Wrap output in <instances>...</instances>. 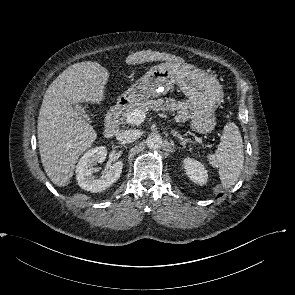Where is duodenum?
Instances as JSON below:
<instances>
[{"label":"duodenum","instance_id":"410a0bca","mask_svg":"<svg viewBox=\"0 0 295 295\" xmlns=\"http://www.w3.org/2000/svg\"><path fill=\"white\" fill-rule=\"evenodd\" d=\"M126 101L122 100L114 105L107 114L106 125L104 129V135L107 138H112L118 131L119 120L124 108Z\"/></svg>","mask_w":295,"mask_h":295}]
</instances>
